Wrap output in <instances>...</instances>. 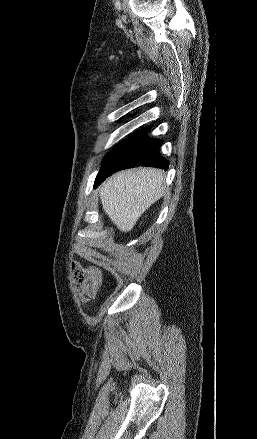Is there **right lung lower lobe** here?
<instances>
[{
	"label": "right lung lower lobe",
	"instance_id": "obj_1",
	"mask_svg": "<svg viewBox=\"0 0 257 439\" xmlns=\"http://www.w3.org/2000/svg\"><path fill=\"white\" fill-rule=\"evenodd\" d=\"M148 128L141 129L116 145L103 159L94 188L113 173L137 166L168 169V161L160 156L159 139H147Z\"/></svg>",
	"mask_w": 257,
	"mask_h": 439
}]
</instances>
